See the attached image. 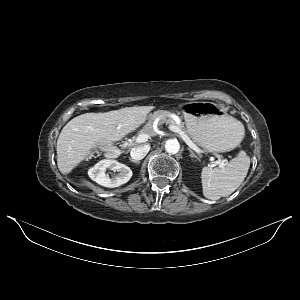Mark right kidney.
Masks as SVG:
<instances>
[{"label": "right kidney", "instance_id": "1", "mask_svg": "<svg viewBox=\"0 0 300 300\" xmlns=\"http://www.w3.org/2000/svg\"><path fill=\"white\" fill-rule=\"evenodd\" d=\"M107 169L114 172L117 171L118 173L110 178L109 175L105 173ZM88 175L99 185L114 188L127 183L132 177V170L116 160L105 159L90 168Z\"/></svg>", "mask_w": 300, "mask_h": 300}]
</instances>
